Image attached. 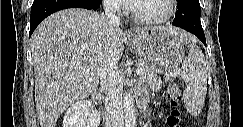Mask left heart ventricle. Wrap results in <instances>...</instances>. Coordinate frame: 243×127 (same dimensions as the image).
<instances>
[{
	"instance_id": "1",
	"label": "left heart ventricle",
	"mask_w": 243,
	"mask_h": 127,
	"mask_svg": "<svg viewBox=\"0 0 243 127\" xmlns=\"http://www.w3.org/2000/svg\"><path fill=\"white\" fill-rule=\"evenodd\" d=\"M134 5L136 12L143 17H158L167 11L165 0H138Z\"/></svg>"
}]
</instances>
